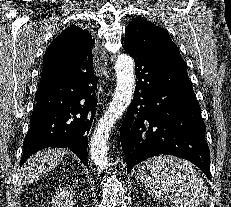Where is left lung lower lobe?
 <instances>
[{
	"mask_svg": "<svg viewBox=\"0 0 231 207\" xmlns=\"http://www.w3.org/2000/svg\"><path fill=\"white\" fill-rule=\"evenodd\" d=\"M132 57L138 82L120 131L128 172L149 157L168 154L192 162L211 180L206 126L185 61Z\"/></svg>",
	"mask_w": 231,
	"mask_h": 207,
	"instance_id": "obj_1",
	"label": "left lung lower lobe"
}]
</instances>
